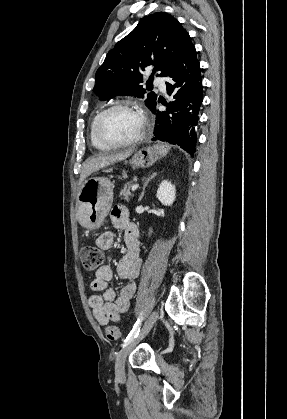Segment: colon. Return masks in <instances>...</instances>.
I'll list each match as a JSON object with an SVG mask.
<instances>
[{"mask_svg":"<svg viewBox=\"0 0 287 419\" xmlns=\"http://www.w3.org/2000/svg\"><path fill=\"white\" fill-rule=\"evenodd\" d=\"M81 259L86 271H96L104 261L103 252L96 246L88 245L81 250ZM105 337L110 341L120 339L121 332L116 326H108L104 330Z\"/></svg>","mask_w":287,"mask_h":419,"instance_id":"5ec220e1","label":"colon"}]
</instances>
